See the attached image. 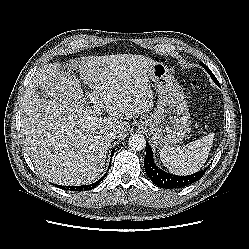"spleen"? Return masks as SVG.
<instances>
[{
	"label": "spleen",
	"instance_id": "1",
	"mask_svg": "<svg viewBox=\"0 0 249 249\" xmlns=\"http://www.w3.org/2000/svg\"><path fill=\"white\" fill-rule=\"evenodd\" d=\"M214 135H208L184 146H164L160 149V158L171 173L189 175L199 171L205 164L213 143Z\"/></svg>",
	"mask_w": 249,
	"mask_h": 249
}]
</instances>
